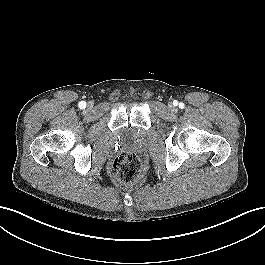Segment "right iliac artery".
Segmentation results:
<instances>
[{
    "label": "right iliac artery",
    "mask_w": 265,
    "mask_h": 265,
    "mask_svg": "<svg viewBox=\"0 0 265 265\" xmlns=\"http://www.w3.org/2000/svg\"><path fill=\"white\" fill-rule=\"evenodd\" d=\"M79 107H80L81 109H84V108L86 107V102H85V101H81V102H79Z\"/></svg>",
    "instance_id": "82829eb1"
}]
</instances>
